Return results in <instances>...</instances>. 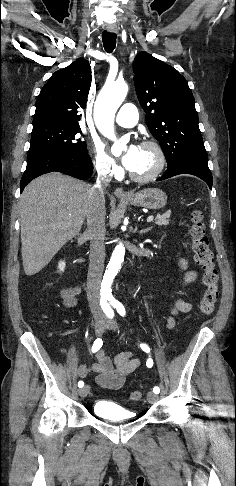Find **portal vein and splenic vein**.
Listing matches in <instances>:
<instances>
[{
  "label": "portal vein and splenic vein",
  "mask_w": 236,
  "mask_h": 486,
  "mask_svg": "<svg viewBox=\"0 0 236 486\" xmlns=\"http://www.w3.org/2000/svg\"><path fill=\"white\" fill-rule=\"evenodd\" d=\"M153 219H154V217H153V216H149V217L147 218V222H148V223H149V222H152V221H153Z\"/></svg>",
  "instance_id": "portal-vein-and-splenic-vein-1"
}]
</instances>
